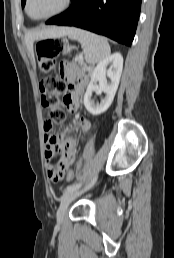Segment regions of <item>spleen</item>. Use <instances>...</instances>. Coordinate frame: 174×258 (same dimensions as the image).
Wrapping results in <instances>:
<instances>
[{"instance_id":"1","label":"spleen","mask_w":174,"mask_h":258,"mask_svg":"<svg viewBox=\"0 0 174 258\" xmlns=\"http://www.w3.org/2000/svg\"><path fill=\"white\" fill-rule=\"evenodd\" d=\"M68 37L82 44L85 60L89 64L101 62L110 55V45L105 37L75 27L68 29Z\"/></svg>"}]
</instances>
